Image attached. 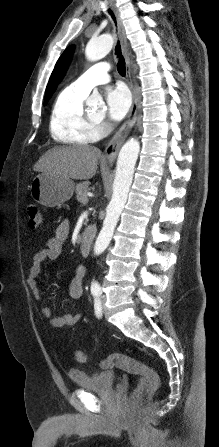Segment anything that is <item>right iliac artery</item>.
I'll return each instance as SVG.
<instances>
[{"label":"right iliac artery","mask_w":219,"mask_h":447,"mask_svg":"<svg viewBox=\"0 0 219 447\" xmlns=\"http://www.w3.org/2000/svg\"><path fill=\"white\" fill-rule=\"evenodd\" d=\"M94 297H95V299H94L95 314L99 318L102 316L101 301H100L99 295L94 294Z\"/></svg>","instance_id":"82829eb1"}]
</instances>
